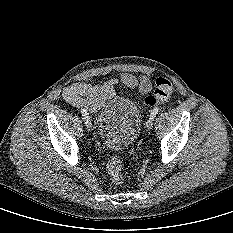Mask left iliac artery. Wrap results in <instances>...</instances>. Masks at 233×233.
<instances>
[{
	"mask_svg": "<svg viewBox=\"0 0 233 233\" xmlns=\"http://www.w3.org/2000/svg\"><path fill=\"white\" fill-rule=\"evenodd\" d=\"M159 108H154L150 114V118L154 119V117L158 114Z\"/></svg>",
	"mask_w": 233,
	"mask_h": 233,
	"instance_id": "1",
	"label": "left iliac artery"
}]
</instances>
